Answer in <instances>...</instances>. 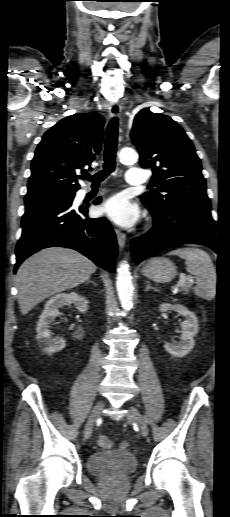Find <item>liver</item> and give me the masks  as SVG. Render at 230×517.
<instances>
[{
  "label": "liver",
  "mask_w": 230,
  "mask_h": 517,
  "mask_svg": "<svg viewBox=\"0 0 230 517\" xmlns=\"http://www.w3.org/2000/svg\"><path fill=\"white\" fill-rule=\"evenodd\" d=\"M97 266L81 253L46 248L26 259L16 275L20 311L26 315L45 298L87 281Z\"/></svg>",
  "instance_id": "liver-1"
}]
</instances>
